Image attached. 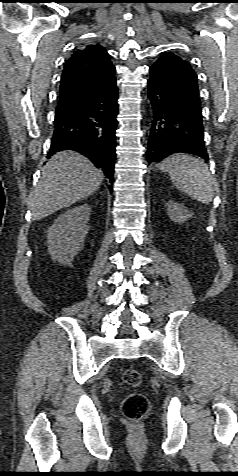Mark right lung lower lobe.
I'll return each instance as SVG.
<instances>
[{
    "instance_id": "obj_1",
    "label": "right lung lower lobe",
    "mask_w": 238,
    "mask_h": 476,
    "mask_svg": "<svg viewBox=\"0 0 238 476\" xmlns=\"http://www.w3.org/2000/svg\"><path fill=\"white\" fill-rule=\"evenodd\" d=\"M116 80L94 98L71 110L56 112L48 157L62 150H74L88 157L113 182L116 158Z\"/></svg>"
}]
</instances>
